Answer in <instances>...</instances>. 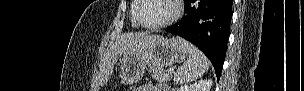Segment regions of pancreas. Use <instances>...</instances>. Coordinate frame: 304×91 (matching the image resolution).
<instances>
[{
    "label": "pancreas",
    "mask_w": 304,
    "mask_h": 91,
    "mask_svg": "<svg viewBox=\"0 0 304 91\" xmlns=\"http://www.w3.org/2000/svg\"><path fill=\"white\" fill-rule=\"evenodd\" d=\"M150 73L151 76L159 82H168L172 77V73L169 71H164L163 69L154 67H150Z\"/></svg>",
    "instance_id": "1"
}]
</instances>
